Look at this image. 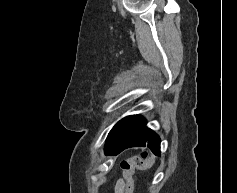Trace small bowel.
I'll list each match as a JSON object with an SVG mask.
<instances>
[{"label":"small bowel","mask_w":237,"mask_h":193,"mask_svg":"<svg viewBox=\"0 0 237 193\" xmlns=\"http://www.w3.org/2000/svg\"><path fill=\"white\" fill-rule=\"evenodd\" d=\"M116 193H125V182L123 180H120L115 188Z\"/></svg>","instance_id":"c3829d8e"}]
</instances>
